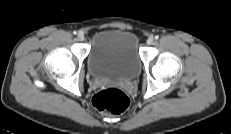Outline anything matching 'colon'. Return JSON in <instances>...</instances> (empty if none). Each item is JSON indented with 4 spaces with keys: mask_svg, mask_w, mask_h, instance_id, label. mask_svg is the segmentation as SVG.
<instances>
[{
    "mask_svg": "<svg viewBox=\"0 0 231 134\" xmlns=\"http://www.w3.org/2000/svg\"><path fill=\"white\" fill-rule=\"evenodd\" d=\"M129 102L127 94L117 87L101 89L93 96L96 109L109 116L123 113L129 106Z\"/></svg>",
    "mask_w": 231,
    "mask_h": 134,
    "instance_id": "colon-1",
    "label": "colon"
}]
</instances>
